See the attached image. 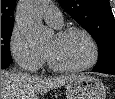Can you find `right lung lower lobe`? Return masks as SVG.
I'll return each instance as SVG.
<instances>
[{
	"label": "right lung lower lobe",
	"mask_w": 115,
	"mask_h": 99,
	"mask_svg": "<svg viewBox=\"0 0 115 99\" xmlns=\"http://www.w3.org/2000/svg\"><path fill=\"white\" fill-rule=\"evenodd\" d=\"M9 63H1V69H5L9 66Z\"/></svg>",
	"instance_id": "right-lung-lower-lobe-1"
}]
</instances>
